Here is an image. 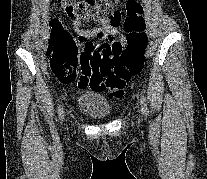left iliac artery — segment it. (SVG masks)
<instances>
[{"label": "left iliac artery", "instance_id": "obj_1", "mask_svg": "<svg viewBox=\"0 0 207 179\" xmlns=\"http://www.w3.org/2000/svg\"><path fill=\"white\" fill-rule=\"evenodd\" d=\"M140 102H141V105H142L143 113H145L147 115L148 108H147V104H146V98L144 96H142V98L140 99Z\"/></svg>", "mask_w": 207, "mask_h": 179}]
</instances>
